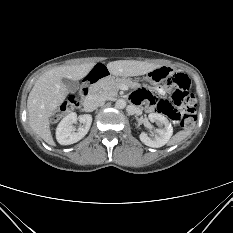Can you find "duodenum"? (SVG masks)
Instances as JSON below:
<instances>
[{"label":"duodenum","instance_id":"duodenum-1","mask_svg":"<svg viewBox=\"0 0 233 233\" xmlns=\"http://www.w3.org/2000/svg\"><path fill=\"white\" fill-rule=\"evenodd\" d=\"M107 75V68L104 65H97L94 71L91 72L82 82V94L90 95L100 91V86H97V81ZM90 93V94H89Z\"/></svg>","mask_w":233,"mask_h":233}]
</instances>
